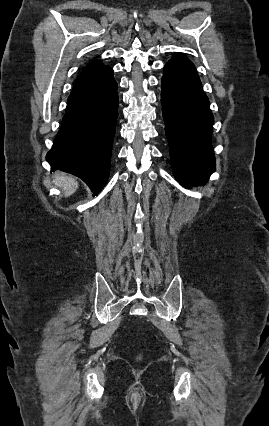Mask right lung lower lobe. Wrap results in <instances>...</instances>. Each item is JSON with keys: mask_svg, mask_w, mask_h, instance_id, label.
<instances>
[{"mask_svg": "<svg viewBox=\"0 0 269 426\" xmlns=\"http://www.w3.org/2000/svg\"><path fill=\"white\" fill-rule=\"evenodd\" d=\"M117 88L109 66L79 74L61 128L46 156L52 170L81 178L94 195L109 176L118 117Z\"/></svg>", "mask_w": 269, "mask_h": 426, "instance_id": "right-lung-lower-lobe-1", "label": "right lung lower lobe"}]
</instances>
